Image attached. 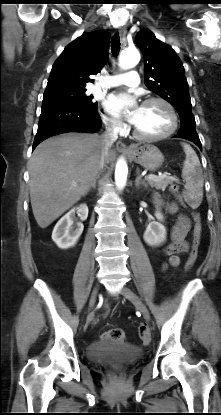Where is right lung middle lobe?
<instances>
[{
  "mask_svg": "<svg viewBox=\"0 0 221 415\" xmlns=\"http://www.w3.org/2000/svg\"><path fill=\"white\" fill-rule=\"evenodd\" d=\"M85 92L86 89H71L51 92L44 94L43 102L61 101L90 109H98V103L92 101L93 96H87Z\"/></svg>",
  "mask_w": 221,
  "mask_h": 415,
  "instance_id": "obj_1",
  "label": "right lung middle lobe"
}]
</instances>
